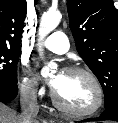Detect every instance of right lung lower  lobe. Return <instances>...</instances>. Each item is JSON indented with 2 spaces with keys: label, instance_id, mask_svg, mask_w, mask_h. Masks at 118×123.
<instances>
[{
  "label": "right lung lower lobe",
  "instance_id": "1",
  "mask_svg": "<svg viewBox=\"0 0 118 123\" xmlns=\"http://www.w3.org/2000/svg\"><path fill=\"white\" fill-rule=\"evenodd\" d=\"M18 94V86L0 85V101L7 103L12 101Z\"/></svg>",
  "mask_w": 118,
  "mask_h": 123
}]
</instances>
